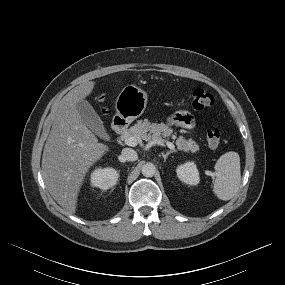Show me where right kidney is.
Listing matches in <instances>:
<instances>
[{"label":"right kidney","instance_id":"1","mask_svg":"<svg viewBox=\"0 0 285 285\" xmlns=\"http://www.w3.org/2000/svg\"><path fill=\"white\" fill-rule=\"evenodd\" d=\"M119 178V172L112 168H98L91 174V185L102 190L113 187Z\"/></svg>","mask_w":285,"mask_h":285}]
</instances>
